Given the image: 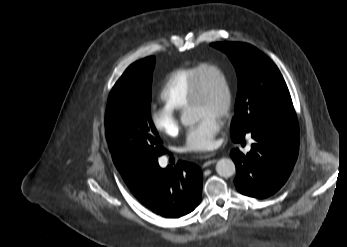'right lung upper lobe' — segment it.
Instances as JSON below:
<instances>
[{"instance_id":"1","label":"right lung upper lobe","mask_w":347,"mask_h":247,"mask_svg":"<svg viewBox=\"0 0 347 247\" xmlns=\"http://www.w3.org/2000/svg\"><path fill=\"white\" fill-rule=\"evenodd\" d=\"M140 168L138 167H128L123 171H120L124 181L128 184L133 181L134 177L139 173Z\"/></svg>"}]
</instances>
